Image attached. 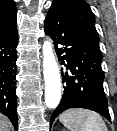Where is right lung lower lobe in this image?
<instances>
[{"label":"right lung lower lobe","instance_id":"obj_1","mask_svg":"<svg viewBox=\"0 0 117 131\" xmlns=\"http://www.w3.org/2000/svg\"><path fill=\"white\" fill-rule=\"evenodd\" d=\"M17 27L0 37V112L7 116L17 130V101L15 93Z\"/></svg>","mask_w":117,"mask_h":131}]
</instances>
